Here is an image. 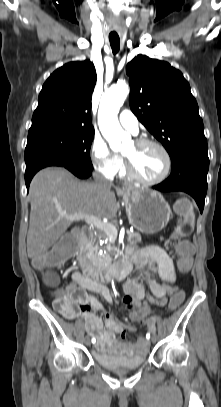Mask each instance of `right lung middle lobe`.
<instances>
[{
  "label": "right lung middle lobe",
  "instance_id": "1",
  "mask_svg": "<svg viewBox=\"0 0 221 407\" xmlns=\"http://www.w3.org/2000/svg\"><path fill=\"white\" fill-rule=\"evenodd\" d=\"M94 130L66 126L30 129L25 148L26 164L33 159L53 155L85 170H93L90 147Z\"/></svg>",
  "mask_w": 221,
  "mask_h": 407
}]
</instances>
